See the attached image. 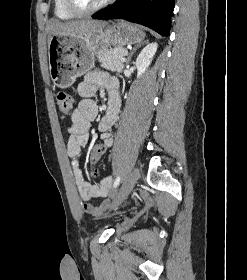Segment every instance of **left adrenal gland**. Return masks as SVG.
Instances as JSON below:
<instances>
[{
    "label": "left adrenal gland",
    "instance_id": "1",
    "mask_svg": "<svg viewBox=\"0 0 247 280\" xmlns=\"http://www.w3.org/2000/svg\"><path fill=\"white\" fill-rule=\"evenodd\" d=\"M141 45L139 44V45H136L134 48H133V50L131 51V53L128 55V58H127V61H126V64H128L129 63V61H130V59H131V57H132V55L134 54V52L140 47Z\"/></svg>",
    "mask_w": 247,
    "mask_h": 280
}]
</instances>
